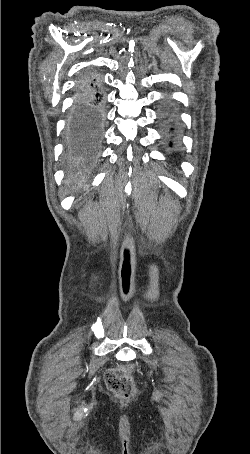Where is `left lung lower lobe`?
<instances>
[{
    "instance_id": "obj_1",
    "label": "left lung lower lobe",
    "mask_w": 250,
    "mask_h": 454,
    "mask_svg": "<svg viewBox=\"0 0 250 454\" xmlns=\"http://www.w3.org/2000/svg\"><path fill=\"white\" fill-rule=\"evenodd\" d=\"M167 119H168V122H169L170 124L173 123V115H171V113L168 115ZM172 130H173V129H172Z\"/></svg>"
}]
</instances>
